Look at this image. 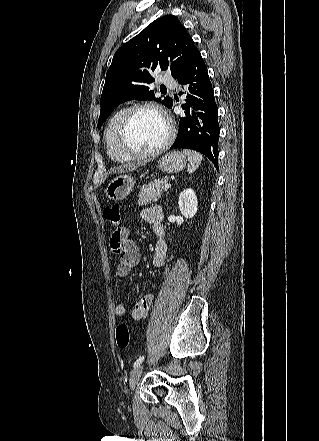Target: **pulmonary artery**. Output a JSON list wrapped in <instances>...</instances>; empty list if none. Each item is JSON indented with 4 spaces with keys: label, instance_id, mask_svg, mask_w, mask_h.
<instances>
[{
    "label": "pulmonary artery",
    "instance_id": "pulmonary-artery-1",
    "mask_svg": "<svg viewBox=\"0 0 319 441\" xmlns=\"http://www.w3.org/2000/svg\"><path fill=\"white\" fill-rule=\"evenodd\" d=\"M160 82L168 87H174L176 85L175 80L168 75H163L160 78Z\"/></svg>",
    "mask_w": 319,
    "mask_h": 441
}]
</instances>
